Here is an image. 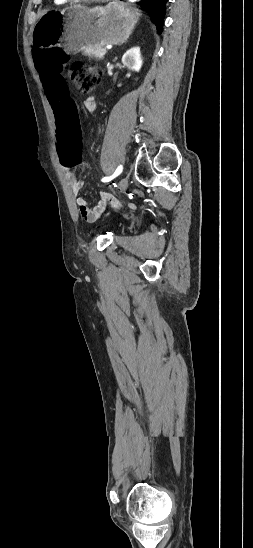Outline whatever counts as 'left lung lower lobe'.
Here are the masks:
<instances>
[{
	"mask_svg": "<svg viewBox=\"0 0 253 548\" xmlns=\"http://www.w3.org/2000/svg\"><path fill=\"white\" fill-rule=\"evenodd\" d=\"M167 1L168 0H142L139 3L152 13L155 25L159 30L162 29L163 19L165 16V5Z\"/></svg>",
	"mask_w": 253,
	"mask_h": 548,
	"instance_id": "obj_1",
	"label": "left lung lower lobe"
}]
</instances>
